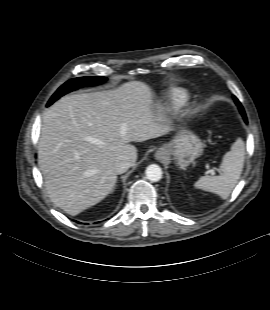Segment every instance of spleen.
Returning a JSON list of instances; mask_svg holds the SVG:
<instances>
[{"instance_id":"spleen-1","label":"spleen","mask_w":270,"mask_h":310,"mask_svg":"<svg viewBox=\"0 0 270 310\" xmlns=\"http://www.w3.org/2000/svg\"><path fill=\"white\" fill-rule=\"evenodd\" d=\"M245 150L241 139L236 140L222 159L219 176H202L194 184L197 189L227 199L235 188L244 166Z\"/></svg>"}]
</instances>
